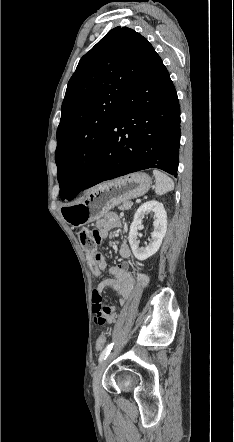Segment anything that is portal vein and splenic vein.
Returning a JSON list of instances; mask_svg holds the SVG:
<instances>
[{
    "mask_svg": "<svg viewBox=\"0 0 234 442\" xmlns=\"http://www.w3.org/2000/svg\"><path fill=\"white\" fill-rule=\"evenodd\" d=\"M136 202H137V203H139V202H140V200H137Z\"/></svg>",
    "mask_w": 234,
    "mask_h": 442,
    "instance_id": "1",
    "label": "portal vein and splenic vein"
}]
</instances>
